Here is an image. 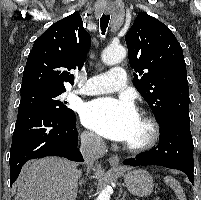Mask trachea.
Here are the masks:
<instances>
[{
	"instance_id": "obj_1",
	"label": "trachea",
	"mask_w": 201,
	"mask_h": 200,
	"mask_svg": "<svg viewBox=\"0 0 201 200\" xmlns=\"http://www.w3.org/2000/svg\"><path fill=\"white\" fill-rule=\"evenodd\" d=\"M110 20V15L103 14L102 17L100 18V27L102 34H105L106 28L108 27Z\"/></svg>"
}]
</instances>
